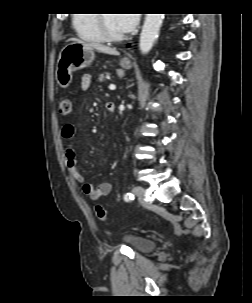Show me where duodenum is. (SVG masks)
Instances as JSON below:
<instances>
[{
	"instance_id": "obj_1",
	"label": "duodenum",
	"mask_w": 252,
	"mask_h": 303,
	"mask_svg": "<svg viewBox=\"0 0 252 303\" xmlns=\"http://www.w3.org/2000/svg\"><path fill=\"white\" fill-rule=\"evenodd\" d=\"M105 108L107 111L112 112L114 110L115 106L112 102H107L105 105Z\"/></svg>"
}]
</instances>
